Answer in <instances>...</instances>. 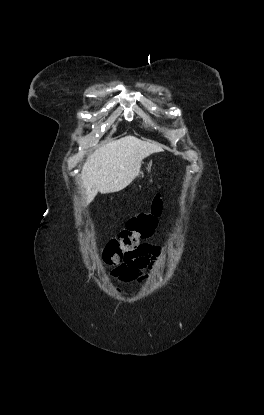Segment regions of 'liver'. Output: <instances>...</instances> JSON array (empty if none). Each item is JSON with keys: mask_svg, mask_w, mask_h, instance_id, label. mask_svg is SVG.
Listing matches in <instances>:
<instances>
[{"mask_svg": "<svg viewBox=\"0 0 264 415\" xmlns=\"http://www.w3.org/2000/svg\"><path fill=\"white\" fill-rule=\"evenodd\" d=\"M161 151V147L134 136L123 137L96 149L87 158L79 175L85 204H90L98 192L107 194L123 190L138 176L142 160Z\"/></svg>", "mask_w": 264, "mask_h": 415, "instance_id": "6515ba94", "label": "liver"}]
</instances>
